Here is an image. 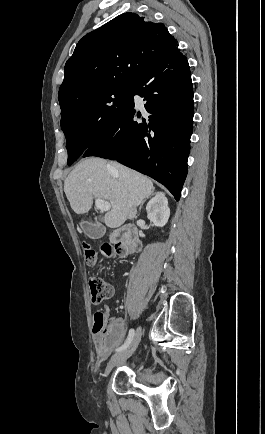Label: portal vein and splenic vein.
Wrapping results in <instances>:
<instances>
[{
    "instance_id": "18ae733b",
    "label": "portal vein and splenic vein",
    "mask_w": 265,
    "mask_h": 434,
    "mask_svg": "<svg viewBox=\"0 0 265 434\" xmlns=\"http://www.w3.org/2000/svg\"><path fill=\"white\" fill-rule=\"evenodd\" d=\"M95 206L97 210H101V212H108V210H111V206L109 202H106V200H95Z\"/></svg>"
}]
</instances>
